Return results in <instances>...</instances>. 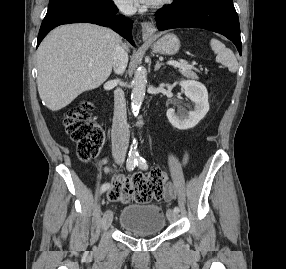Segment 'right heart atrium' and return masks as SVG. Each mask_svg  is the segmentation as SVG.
<instances>
[{
  "mask_svg": "<svg viewBox=\"0 0 286 269\" xmlns=\"http://www.w3.org/2000/svg\"><path fill=\"white\" fill-rule=\"evenodd\" d=\"M117 8L125 13H131L134 10L132 4H130L129 0H113Z\"/></svg>",
  "mask_w": 286,
  "mask_h": 269,
  "instance_id": "obj_1",
  "label": "right heart atrium"
}]
</instances>
